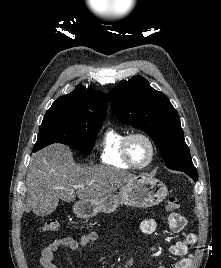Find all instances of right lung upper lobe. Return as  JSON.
<instances>
[{
    "label": "right lung upper lobe",
    "mask_w": 221,
    "mask_h": 268,
    "mask_svg": "<svg viewBox=\"0 0 221 268\" xmlns=\"http://www.w3.org/2000/svg\"><path fill=\"white\" fill-rule=\"evenodd\" d=\"M108 95L83 86H77L70 94L59 97L47 113H64L83 120H104Z\"/></svg>",
    "instance_id": "cb5924a9"
}]
</instances>
